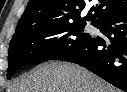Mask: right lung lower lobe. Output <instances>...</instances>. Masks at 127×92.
<instances>
[{
	"label": "right lung lower lobe",
	"instance_id": "98d812e1",
	"mask_svg": "<svg viewBox=\"0 0 127 92\" xmlns=\"http://www.w3.org/2000/svg\"><path fill=\"white\" fill-rule=\"evenodd\" d=\"M105 39L91 37L57 58L79 64L127 92V10L92 24Z\"/></svg>",
	"mask_w": 127,
	"mask_h": 92
}]
</instances>
